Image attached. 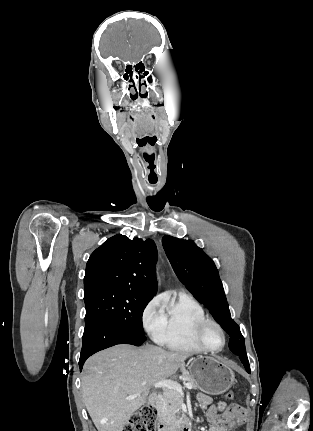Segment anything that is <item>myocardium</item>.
Here are the masks:
<instances>
[{"mask_svg":"<svg viewBox=\"0 0 313 431\" xmlns=\"http://www.w3.org/2000/svg\"><path fill=\"white\" fill-rule=\"evenodd\" d=\"M209 324L214 325L219 330V332L221 333L222 344H221V346L219 348H216V349L209 348L208 346L205 345V343L202 340L203 330ZM193 339H194L195 343L203 351H207V352H219L226 345V334H225V331H224L223 327L216 320H214L212 318H209V317H205L204 319H202L201 321L198 322V324L196 325V327L194 329Z\"/></svg>","mask_w":313,"mask_h":431,"instance_id":"obj_1","label":"myocardium"}]
</instances>
